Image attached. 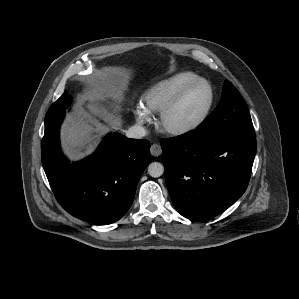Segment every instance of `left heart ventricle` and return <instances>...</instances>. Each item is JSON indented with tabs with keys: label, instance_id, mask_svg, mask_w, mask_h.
I'll return each instance as SVG.
<instances>
[{
	"label": "left heart ventricle",
	"instance_id": "b2bd125f",
	"mask_svg": "<svg viewBox=\"0 0 299 299\" xmlns=\"http://www.w3.org/2000/svg\"><path fill=\"white\" fill-rule=\"evenodd\" d=\"M209 100L206 85L192 88L169 113L167 123L171 126H183L195 121L205 109Z\"/></svg>",
	"mask_w": 299,
	"mask_h": 299
}]
</instances>
